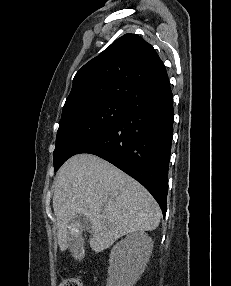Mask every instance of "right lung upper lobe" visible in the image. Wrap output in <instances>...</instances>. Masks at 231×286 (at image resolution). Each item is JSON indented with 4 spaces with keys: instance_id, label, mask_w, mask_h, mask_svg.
<instances>
[{
    "instance_id": "cb5924a9",
    "label": "right lung upper lobe",
    "mask_w": 231,
    "mask_h": 286,
    "mask_svg": "<svg viewBox=\"0 0 231 286\" xmlns=\"http://www.w3.org/2000/svg\"><path fill=\"white\" fill-rule=\"evenodd\" d=\"M166 80L154 48L135 34H125L76 73L62 116L103 101L127 103Z\"/></svg>"
}]
</instances>
